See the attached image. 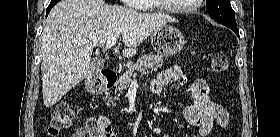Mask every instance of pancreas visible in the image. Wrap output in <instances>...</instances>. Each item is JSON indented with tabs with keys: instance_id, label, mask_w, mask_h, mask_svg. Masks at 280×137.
<instances>
[{
	"instance_id": "pancreas-1",
	"label": "pancreas",
	"mask_w": 280,
	"mask_h": 137,
	"mask_svg": "<svg viewBox=\"0 0 280 137\" xmlns=\"http://www.w3.org/2000/svg\"><path fill=\"white\" fill-rule=\"evenodd\" d=\"M163 65V57L158 55H145L138 59V61L130 65L128 70L123 73V75L118 79L115 84V90L123 92L126 90L133 79L137 76V73L140 72L141 75L147 74L150 71H157L158 68ZM117 97H105L106 104H114V101L117 100Z\"/></svg>"
}]
</instances>
